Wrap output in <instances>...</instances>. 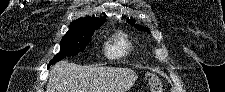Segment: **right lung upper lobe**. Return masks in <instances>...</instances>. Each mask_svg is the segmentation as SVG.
<instances>
[{
  "instance_id": "1",
  "label": "right lung upper lobe",
  "mask_w": 225,
  "mask_h": 92,
  "mask_svg": "<svg viewBox=\"0 0 225 92\" xmlns=\"http://www.w3.org/2000/svg\"><path fill=\"white\" fill-rule=\"evenodd\" d=\"M102 20H105V18H95V17L79 18L78 20H75L70 24L69 30H75L77 28L90 25Z\"/></svg>"
}]
</instances>
